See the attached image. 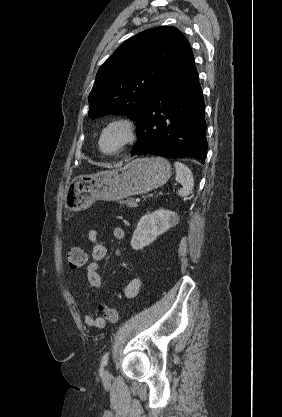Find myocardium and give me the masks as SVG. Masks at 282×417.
<instances>
[{"instance_id":"1","label":"myocardium","mask_w":282,"mask_h":417,"mask_svg":"<svg viewBox=\"0 0 282 417\" xmlns=\"http://www.w3.org/2000/svg\"><path fill=\"white\" fill-rule=\"evenodd\" d=\"M113 131L119 132L121 134V139L113 150L105 151L103 149L104 152H111V153L118 152L124 146L131 143L135 137V130H134L133 123L130 120L125 119V118L118 119V120L111 122L106 128L103 129L101 133V137H100L101 147H102V141L105 135Z\"/></svg>"}]
</instances>
